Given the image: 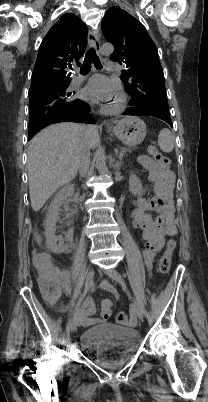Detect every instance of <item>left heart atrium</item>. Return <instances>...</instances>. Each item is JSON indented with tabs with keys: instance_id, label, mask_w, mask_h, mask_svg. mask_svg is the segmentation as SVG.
<instances>
[{
	"instance_id": "left-heart-atrium-1",
	"label": "left heart atrium",
	"mask_w": 208,
	"mask_h": 402,
	"mask_svg": "<svg viewBox=\"0 0 208 402\" xmlns=\"http://www.w3.org/2000/svg\"><path fill=\"white\" fill-rule=\"evenodd\" d=\"M115 84L106 76L97 74L92 76L81 88L80 97L84 101H106L115 93Z\"/></svg>"
}]
</instances>
